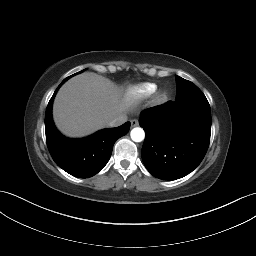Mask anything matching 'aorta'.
<instances>
[{"mask_svg": "<svg viewBox=\"0 0 256 256\" xmlns=\"http://www.w3.org/2000/svg\"><path fill=\"white\" fill-rule=\"evenodd\" d=\"M130 136L134 142H141L145 138V132L141 127H135L131 130Z\"/></svg>", "mask_w": 256, "mask_h": 256, "instance_id": "obj_1", "label": "aorta"}]
</instances>
